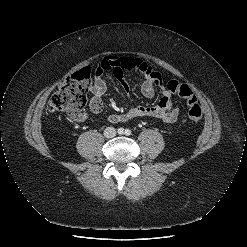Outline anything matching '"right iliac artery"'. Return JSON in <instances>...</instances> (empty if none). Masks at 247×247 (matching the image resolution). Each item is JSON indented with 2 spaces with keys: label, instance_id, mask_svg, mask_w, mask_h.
I'll return each mask as SVG.
<instances>
[{
  "label": "right iliac artery",
  "instance_id": "obj_1",
  "mask_svg": "<svg viewBox=\"0 0 247 247\" xmlns=\"http://www.w3.org/2000/svg\"><path fill=\"white\" fill-rule=\"evenodd\" d=\"M118 133H119V134H123V133H124V129H123V128H119V129H118Z\"/></svg>",
  "mask_w": 247,
  "mask_h": 247
}]
</instances>
